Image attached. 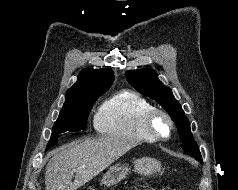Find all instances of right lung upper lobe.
I'll list each match as a JSON object with an SVG mask.
<instances>
[{
    "mask_svg": "<svg viewBox=\"0 0 238 190\" xmlns=\"http://www.w3.org/2000/svg\"><path fill=\"white\" fill-rule=\"evenodd\" d=\"M113 82V71L105 69H83L77 82L66 92L64 104H71L81 96L100 94L107 91Z\"/></svg>",
    "mask_w": 238,
    "mask_h": 190,
    "instance_id": "right-lung-upper-lobe-1",
    "label": "right lung upper lobe"
}]
</instances>
